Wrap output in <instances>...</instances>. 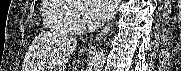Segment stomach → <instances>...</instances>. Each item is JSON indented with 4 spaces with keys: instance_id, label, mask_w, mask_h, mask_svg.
Listing matches in <instances>:
<instances>
[{
    "instance_id": "1",
    "label": "stomach",
    "mask_w": 181,
    "mask_h": 71,
    "mask_svg": "<svg viewBox=\"0 0 181 71\" xmlns=\"http://www.w3.org/2000/svg\"><path fill=\"white\" fill-rule=\"evenodd\" d=\"M50 71H64V68L60 67H55L53 69H51Z\"/></svg>"
}]
</instances>
